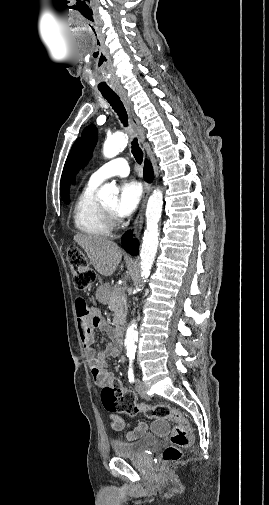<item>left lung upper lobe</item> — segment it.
Wrapping results in <instances>:
<instances>
[{"label":"left lung upper lobe","instance_id":"obj_1","mask_svg":"<svg viewBox=\"0 0 269 505\" xmlns=\"http://www.w3.org/2000/svg\"><path fill=\"white\" fill-rule=\"evenodd\" d=\"M97 141V131L94 125L86 127L82 132V137L77 139L72 147L74 155L75 170L84 167L88 162L93 148Z\"/></svg>","mask_w":269,"mask_h":505}]
</instances>
